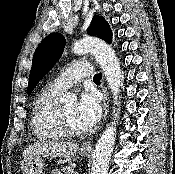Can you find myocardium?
Masks as SVG:
<instances>
[{
	"label": "myocardium",
	"mask_w": 175,
	"mask_h": 174,
	"mask_svg": "<svg viewBox=\"0 0 175 174\" xmlns=\"http://www.w3.org/2000/svg\"><path fill=\"white\" fill-rule=\"evenodd\" d=\"M58 118H59L60 127H61L65 136H67V137H80L85 133L84 131H78V130H75L72 128V126L70 125V123L66 119L62 108H59Z\"/></svg>",
	"instance_id": "1"
}]
</instances>
